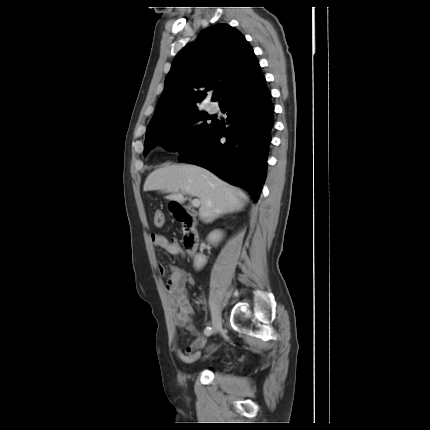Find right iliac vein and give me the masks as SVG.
Masks as SVG:
<instances>
[{"label":"right iliac vein","instance_id":"63e3f726","mask_svg":"<svg viewBox=\"0 0 430 430\" xmlns=\"http://www.w3.org/2000/svg\"><path fill=\"white\" fill-rule=\"evenodd\" d=\"M221 322H222V319L220 314L214 309H212V327L215 332L221 330L222 328Z\"/></svg>","mask_w":430,"mask_h":430}]
</instances>
